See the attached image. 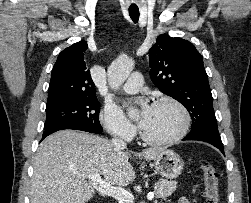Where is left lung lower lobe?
I'll return each instance as SVG.
<instances>
[{
	"mask_svg": "<svg viewBox=\"0 0 251 203\" xmlns=\"http://www.w3.org/2000/svg\"><path fill=\"white\" fill-rule=\"evenodd\" d=\"M183 140H198L204 141L212 144L216 148H218L224 154L223 143L221 141L220 135H212V134H197V135H187Z\"/></svg>",
	"mask_w": 251,
	"mask_h": 203,
	"instance_id": "obj_1",
	"label": "left lung lower lobe"
}]
</instances>
